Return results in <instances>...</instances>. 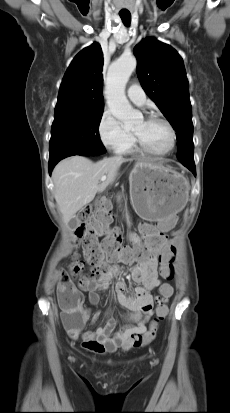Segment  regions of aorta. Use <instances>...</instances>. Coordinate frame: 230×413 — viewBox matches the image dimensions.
Returning <instances> with one entry per match:
<instances>
[{
  "mask_svg": "<svg viewBox=\"0 0 230 413\" xmlns=\"http://www.w3.org/2000/svg\"><path fill=\"white\" fill-rule=\"evenodd\" d=\"M136 59L133 56H121L113 62L107 75L105 96L112 115L124 123L133 124L141 113L135 111L125 95V87L132 72L136 69Z\"/></svg>",
  "mask_w": 230,
  "mask_h": 413,
  "instance_id": "762f6f07",
  "label": "aorta"
}]
</instances>
